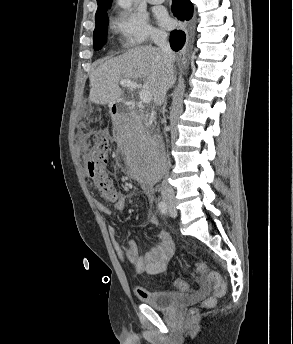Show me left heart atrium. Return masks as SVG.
<instances>
[{"label": "left heart atrium", "mask_w": 293, "mask_h": 344, "mask_svg": "<svg viewBox=\"0 0 293 344\" xmlns=\"http://www.w3.org/2000/svg\"><path fill=\"white\" fill-rule=\"evenodd\" d=\"M158 20L165 27L169 26L170 24V20L165 13H160L158 15Z\"/></svg>", "instance_id": "1"}]
</instances>
